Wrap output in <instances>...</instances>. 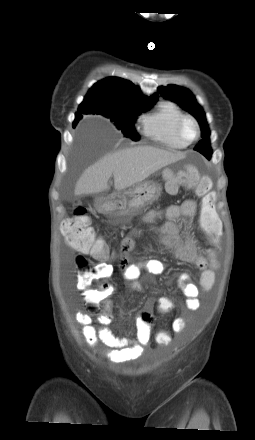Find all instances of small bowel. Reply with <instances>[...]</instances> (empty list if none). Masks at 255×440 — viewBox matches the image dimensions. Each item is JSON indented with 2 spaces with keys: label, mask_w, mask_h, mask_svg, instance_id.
Listing matches in <instances>:
<instances>
[{
  "label": "small bowel",
  "mask_w": 255,
  "mask_h": 440,
  "mask_svg": "<svg viewBox=\"0 0 255 440\" xmlns=\"http://www.w3.org/2000/svg\"><path fill=\"white\" fill-rule=\"evenodd\" d=\"M196 214V202L187 200L178 205H170L165 209L152 210L144 217V221L149 224H153L159 219H166L167 221L164 224L155 226L152 229L159 242L170 249L179 260L193 264L202 270L199 286L191 282V276L186 272L181 273L176 280L178 288L186 298V306L191 311H196L200 308L201 304L198 298L200 292H209L213 288L215 284L214 270L218 267V261L213 250L209 249L206 252L198 251L195 242L181 233L178 221L182 218H194ZM139 234L140 231H135L134 236L126 237L122 241L119 253V266L122 278L128 283V289L132 292H140L142 289L138 281L142 270L155 275L162 274L166 270L165 265L157 259L147 260L141 265L129 263L127 255L134 248L135 237ZM100 259L102 260L100 264L110 266L105 258ZM107 275L110 276L111 271H108ZM78 286L82 288L80 284ZM160 298L169 297L162 296ZM112 308V301H106L104 305L105 311L98 318L100 324L104 326L110 324L113 318ZM152 309L153 303H148L138 313L136 317L137 335L135 340L116 336L106 327L96 329L91 316L85 312H77L75 319L82 326L84 339L89 346L94 347L98 342L103 343L109 348L108 358L114 362H119L138 357L142 354L144 348L149 345L153 319ZM184 328V320L176 319L173 322L172 329L175 333L182 332Z\"/></svg>",
  "instance_id": "1"
}]
</instances>
